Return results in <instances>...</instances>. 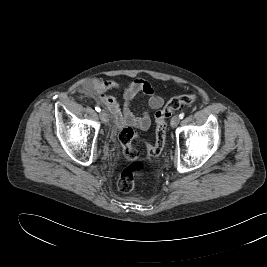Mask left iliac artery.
Here are the masks:
<instances>
[{
  "label": "left iliac artery",
  "mask_w": 267,
  "mask_h": 267,
  "mask_svg": "<svg viewBox=\"0 0 267 267\" xmlns=\"http://www.w3.org/2000/svg\"><path fill=\"white\" fill-rule=\"evenodd\" d=\"M179 117H180V119H182V118L184 117V113H181V114L179 115Z\"/></svg>",
  "instance_id": "left-iliac-artery-1"
}]
</instances>
